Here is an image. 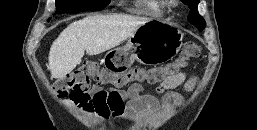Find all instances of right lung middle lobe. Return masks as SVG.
<instances>
[{
  "instance_id": "obj_1",
  "label": "right lung middle lobe",
  "mask_w": 257,
  "mask_h": 130,
  "mask_svg": "<svg viewBox=\"0 0 257 130\" xmlns=\"http://www.w3.org/2000/svg\"><path fill=\"white\" fill-rule=\"evenodd\" d=\"M110 0H56L59 13H77L101 8Z\"/></svg>"
}]
</instances>
